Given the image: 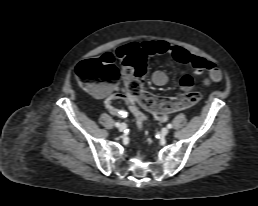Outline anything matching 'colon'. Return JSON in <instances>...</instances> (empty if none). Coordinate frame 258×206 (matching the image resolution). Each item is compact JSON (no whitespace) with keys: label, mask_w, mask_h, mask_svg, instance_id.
Segmentation results:
<instances>
[{"label":"colon","mask_w":258,"mask_h":206,"mask_svg":"<svg viewBox=\"0 0 258 206\" xmlns=\"http://www.w3.org/2000/svg\"><path fill=\"white\" fill-rule=\"evenodd\" d=\"M123 64L126 97L140 128L144 126L145 118L138 106L155 114L166 115L173 111L191 108L200 100V94L197 92H185L172 98H158L147 92L144 89L146 62L142 54L127 58ZM75 72L79 83L91 90H97L101 84H114L122 77L114 64V59L107 54L80 62Z\"/></svg>","instance_id":"5ec220e1"}]
</instances>
